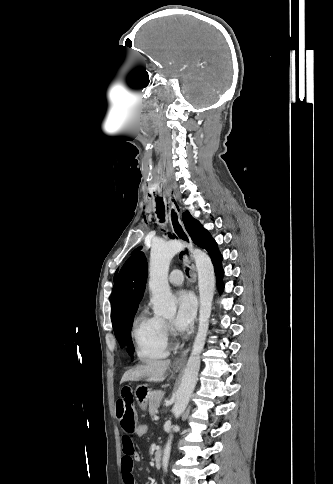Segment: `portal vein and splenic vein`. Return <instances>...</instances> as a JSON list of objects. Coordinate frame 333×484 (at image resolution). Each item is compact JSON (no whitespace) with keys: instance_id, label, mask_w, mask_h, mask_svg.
<instances>
[{"instance_id":"obj_1","label":"portal vein and splenic vein","mask_w":333,"mask_h":484,"mask_svg":"<svg viewBox=\"0 0 333 484\" xmlns=\"http://www.w3.org/2000/svg\"><path fill=\"white\" fill-rule=\"evenodd\" d=\"M158 419H159V417H158V416H155V417L153 418V420H158Z\"/></svg>"}]
</instances>
